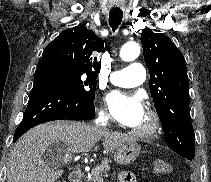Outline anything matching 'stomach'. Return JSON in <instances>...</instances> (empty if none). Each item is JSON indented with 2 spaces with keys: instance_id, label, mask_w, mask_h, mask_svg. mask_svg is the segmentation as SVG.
<instances>
[{
  "instance_id": "0dacf381",
  "label": "stomach",
  "mask_w": 211,
  "mask_h": 182,
  "mask_svg": "<svg viewBox=\"0 0 211 182\" xmlns=\"http://www.w3.org/2000/svg\"><path fill=\"white\" fill-rule=\"evenodd\" d=\"M140 153V145L134 141L122 144L114 154V160L120 165L132 163Z\"/></svg>"
}]
</instances>
